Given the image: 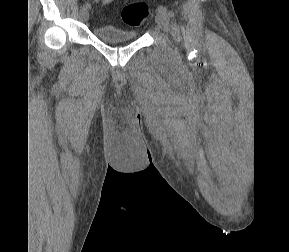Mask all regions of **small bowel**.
Here are the masks:
<instances>
[{
	"instance_id": "c3829d8e",
	"label": "small bowel",
	"mask_w": 289,
	"mask_h": 252,
	"mask_svg": "<svg viewBox=\"0 0 289 252\" xmlns=\"http://www.w3.org/2000/svg\"><path fill=\"white\" fill-rule=\"evenodd\" d=\"M95 3H99L102 6H107L109 5L113 0H92Z\"/></svg>"
}]
</instances>
